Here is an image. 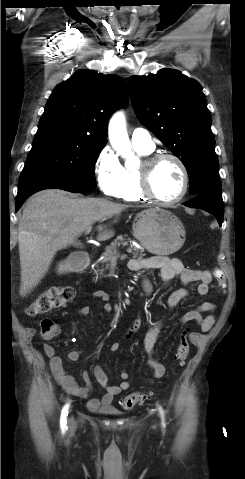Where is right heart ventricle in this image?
I'll return each instance as SVG.
<instances>
[{"label": "right heart ventricle", "mask_w": 245, "mask_h": 479, "mask_svg": "<svg viewBox=\"0 0 245 479\" xmlns=\"http://www.w3.org/2000/svg\"><path fill=\"white\" fill-rule=\"evenodd\" d=\"M135 150L141 155H149L151 151L136 148ZM118 198L127 202H139L147 200L139 188V170L124 169L123 183L118 193Z\"/></svg>", "instance_id": "e07e8e85"}]
</instances>
